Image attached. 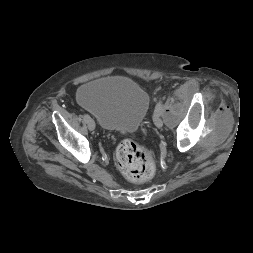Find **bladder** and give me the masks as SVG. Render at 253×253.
<instances>
[{
  "label": "bladder",
  "instance_id": "1",
  "mask_svg": "<svg viewBox=\"0 0 253 253\" xmlns=\"http://www.w3.org/2000/svg\"><path fill=\"white\" fill-rule=\"evenodd\" d=\"M77 99L107 131L136 130L150 106L148 93L126 77H105L83 84Z\"/></svg>",
  "mask_w": 253,
  "mask_h": 253
}]
</instances>
